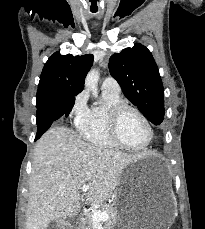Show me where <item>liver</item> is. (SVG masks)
<instances>
[{"label":"liver","mask_w":205,"mask_h":229,"mask_svg":"<svg viewBox=\"0 0 205 229\" xmlns=\"http://www.w3.org/2000/svg\"><path fill=\"white\" fill-rule=\"evenodd\" d=\"M139 158L88 144L67 127L50 128L34 148L26 229H47L53 220L77 215L87 182V202L115 196L123 170Z\"/></svg>","instance_id":"liver-1"}]
</instances>
